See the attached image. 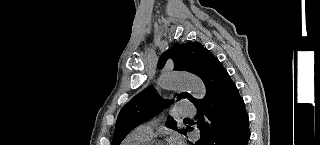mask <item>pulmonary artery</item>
I'll list each match as a JSON object with an SVG mask.
<instances>
[{
  "instance_id": "obj_1",
  "label": "pulmonary artery",
  "mask_w": 320,
  "mask_h": 145,
  "mask_svg": "<svg viewBox=\"0 0 320 145\" xmlns=\"http://www.w3.org/2000/svg\"><path fill=\"white\" fill-rule=\"evenodd\" d=\"M173 110H174L175 115L181 116V117L192 116V115H194L196 113V109L193 108V107L185 106V102L184 101H181L177 105H175ZM155 124H156L155 121L147 122L145 124H142V125L138 126L136 128V131L141 133V134H143V135H146V136L152 138L153 137V127H154Z\"/></svg>"
}]
</instances>
